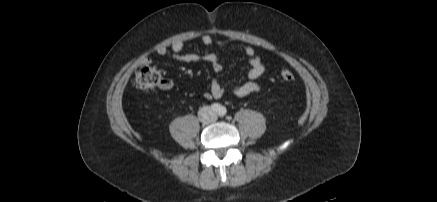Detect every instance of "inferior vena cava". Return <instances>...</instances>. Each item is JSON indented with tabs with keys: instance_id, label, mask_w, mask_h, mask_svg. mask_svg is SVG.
I'll return each mask as SVG.
<instances>
[{
	"instance_id": "602c4592",
	"label": "inferior vena cava",
	"mask_w": 437,
	"mask_h": 202,
	"mask_svg": "<svg viewBox=\"0 0 437 202\" xmlns=\"http://www.w3.org/2000/svg\"><path fill=\"white\" fill-rule=\"evenodd\" d=\"M199 119L203 122H211L215 119V113L213 112V110L208 107V106H204L199 110Z\"/></svg>"
}]
</instances>
